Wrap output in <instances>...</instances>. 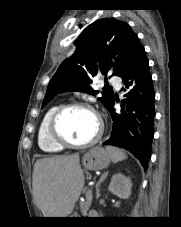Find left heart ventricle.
Returning a JSON list of instances; mask_svg holds the SVG:
<instances>
[{"label":"left heart ventricle","instance_id":"1","mask_svg":"<svg viewBox=\"0 0 181 227\" xmlns=\"http://www.w3.org/2000/svg\"><path fill=\"white\" fill-rule=\"evenodd\" d=\"M62 136L74 143H84L92 139L98 129L95 116L83 108H72L64 112L58 122Z\"/></svg>","mask_w":181,"mask_h":227}]
</instances>
